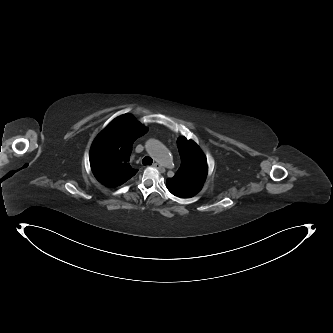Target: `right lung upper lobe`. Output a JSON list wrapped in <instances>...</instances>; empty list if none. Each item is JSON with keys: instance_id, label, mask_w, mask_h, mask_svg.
I'll list each match as a JSON object with an SVG mask.
<instances>
[{"instance_id": "right-lung-upper-lobe-1", "label": "right lung upper lobe", "mask_w": 333, "mask_h": 333, "mask_svg": "<svg viewBox=\"0 0 333 333\" xmlns=\"http://www.w3.org/2000/svg\"><path fill=\"white\" fill-rule=\"evenodd\" d=\"M147 131L131 114H124L96 137L89 158L92 172L101 184L117 187L137 173L129 164L132 144Z\"/></svg>"}]
</instances>
